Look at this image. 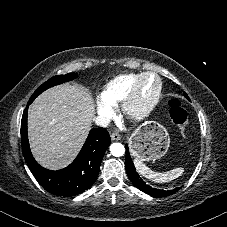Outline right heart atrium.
<instances>
[{
	"label": "right heart atrium",
	"instance_id": "right-heart-atrium-1",
	"mask_svg": "<svg viewBox=\"0 0 227 227\" xmlns=\"http://www.w3.org/2000/svg\"><path fill=\"white\" fill-rule=\"evenodd\" d=\"M96 110L99 114H110L112 111V108L110 105L105 104V103H100L97 105Z\"/></svg>",
	"mask_w": 227,
	"mask_h": 227
}]
</instances>
